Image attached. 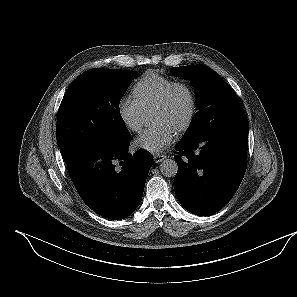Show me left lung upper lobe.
Returning a JSON list of instances; mask_svg holds the SVG:
<instances>
[{"instance_id":"left-lung-upper-lobe-1","label":"left lung upper lobe","mask_w":297,"mask_h":297,"mask_svg":"<svg viewBox=\"0 0 297 297\" xmlns=\"http://www.w3.org/2000/svg\"><path fill=\"white\" fill-rule=\"evenodd\" d=\"M171 74L190 79L196 95L197 112L182 139L245 116L236 93L209 67L199 64L173 67Z\"/></svg>"}]
</instances>
